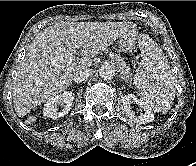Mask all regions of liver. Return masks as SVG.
Returning <instances> with one entry per match:
<instances>
[{
  "instance_id": "liver-1",
  "label": "liver",
  "mask_w": 196,
  "mask_h": 166,
  "mask_svg": "<svg viewBox=\"0 0 196 166\" xmlns=\"http://www.w3.org/2000/svg\"><path fill=\"white\" fill-rule=\"evenodd\" d=\"M135 31L126 22H58L39 32L27 46L13 85L19 117L66 90L76 72L120 36ZM80 50V58L76 57Z\"/></svg>"
}]
</instances>
